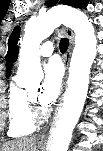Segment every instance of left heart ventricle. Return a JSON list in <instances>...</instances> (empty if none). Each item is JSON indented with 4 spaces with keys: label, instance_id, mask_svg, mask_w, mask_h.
Returning a JSON list of instances; mask_svg holds the SVG:
<instances>
[{
    "label": "left heart ventricle",
    "instance_id": "left-heart-ventricle-1",
    "mask_svg": "<svg viewBox=\"0 0 103 151\" xmlns=\"http://www.w3.org/2000/svg\"><path fill=\"white\" fill-rule=\"evenodd\" d=\"M30 94L33 95V96L35 97L36 94H37V90H36V89H35V90H32V91L30 92Z\"/></svg>",
    "mask_w": 103,
    "mask_h": 151
}]
</instances>
